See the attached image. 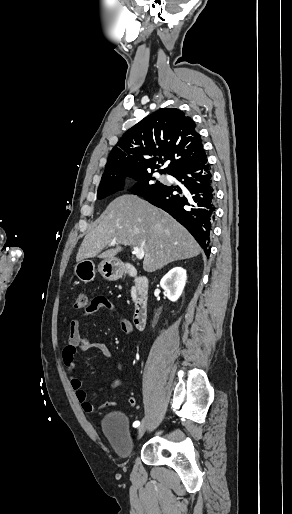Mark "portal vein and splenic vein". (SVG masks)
Wrapping results in <instances>:
<instances>
[{
	"label": "portal vein and splenic vein",
	"instance_id": "18ae733b",
	"mask_svg": "<svg viewBox=\"0 0 292 514\" xmlns=\"http://www.w3.org/2000/svg\"><path fill=\"white\" fill-rule=\"evenodd\" d=\"M116 244V240H113V242H111V246H115ZM132 254H135L136 258H138V260H142V258H144L145 254H144V248H133V252Z\"/></svg>",
	"mask_w": 292,
	"mask_h": 514
}]
</instances>
